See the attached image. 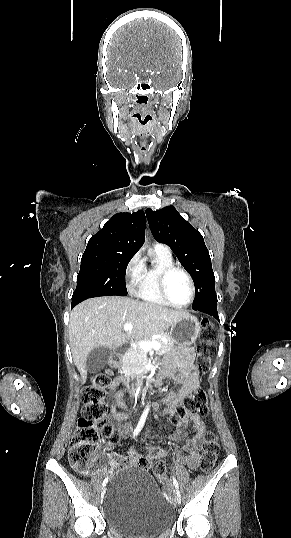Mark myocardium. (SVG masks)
Returning a JSON list of instances; mask_svg holds the SVG:
<instances>
[{"mask_svg": "<svg viewBox=\"0 0 291 538\" xmlns=\"http://www.w3.org/2000/svg\"><path fill=\"white\" fill-rule=\"evenodd\" d=\"M174 272H181L186 277V279H187V281L189 283L190 297H189L188 301L186 303H184V304L175 303L174 301L171 300V298L169 297V294H168L167 281H168L169 276ZM158 287H159L160 295L165 300V302H167L169 305H171L173 307H176V308H186V307H188L193 302V300L195 298V284H194V281H193L191 275L189 274V272L187 270H185L182 267L176 266V265L166 267L160 272L159 277H158Z\"/></svg>", "mask_w": 291, "mask_h": 538, "instance_id": "f54148a6", "label": "myocardium"}]
</instances>
